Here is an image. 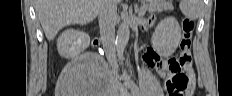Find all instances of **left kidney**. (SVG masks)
Returning a JSON list of instances; mask_svg holds the SVG:
<instances>
[{"instance_id": "left-kidney-1", "label": "left kidney", "mask_w": 232, "mask_h": 96, "mask_svg": "<svg viewBox=\"0 0 232 96\" xmlns=\"http://www.w3.org/2000/svg\"><path fill=\"white\" fill-rule=\"evenodd\" d=\"M181 40V28L174 17L161 20L151 38L153 49L162 57L171 56Z\"/></svg>"}]
</instances>
